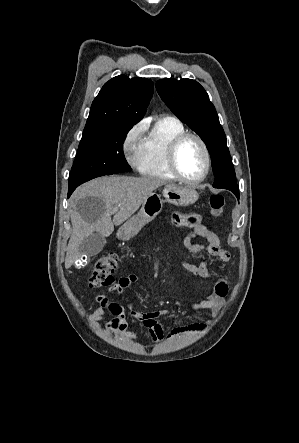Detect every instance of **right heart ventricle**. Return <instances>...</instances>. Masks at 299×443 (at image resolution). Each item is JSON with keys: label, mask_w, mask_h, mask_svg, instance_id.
I'll return each mask as SVG.
<instances>
[{"label": "right heart ventricle", "mask_w": 299, "mask_h": 443, "mask_svg": "<svg viewBox=\"0 0 299 443\" xmlns=\"http://www.w3.org/2000/svg\"><path fill=\"white\" fill-rule=\"evenodd\" d=\"M186 132L183 123L172 116L157 120L148 135L142 141V154L139 171L146 177L174 180L167 163V151L170 143L178 135Z\"/></svg>", "instance_id": "right-heart-ventricle-1"}]
</instances>
